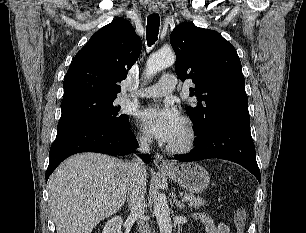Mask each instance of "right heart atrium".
<instances>
[{
    "mask_svg": "<svg viewBox=\"0 0 306 233\" xmlns=\"http://www.w3.org/2000/svg\"><path fill=\"white\" fill-rule=\"evenodd\" d=\"M136 138L138 143L143 147L148 146L150 143V138L144 131H139Z\"/></svg>",
    "mask_w": 306,
    "mask_h": 233,
    "instance_id": "d8ad5b80",
    "label": "right heart atrium"
}]
</instances>
